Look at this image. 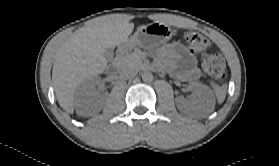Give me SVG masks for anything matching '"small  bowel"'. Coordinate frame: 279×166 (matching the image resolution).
Returning <instances> with one entry per match:
<instances>
[{
    "mask_svg": "<svg viewBox=\"0 0 279 166\" xmlns=\"http://www.w3.org/2000/svg\"><path fill=\"white\" fill-rule=\"evenodd\" d=\"M159 62L157 68L167 67L171 71H177L186 78H195L198 75L196 61L192 54L187 52L179 42H171L163 46L158 52ZM179 61L180 67L174 66L173 62Z\"/></svg>",
    "mask_w": 279,
    "mask_h": 166,
    "instance_id": "small-bowel-1",
    "label": "small bowel"
}]
</instances>
